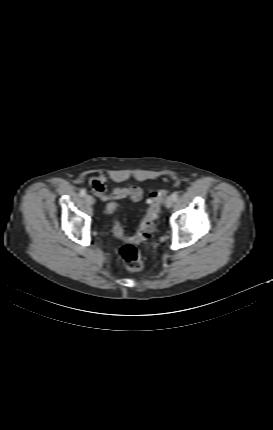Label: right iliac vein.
<instances>
[{"label": "right iliac vein", "instance_id": "1", "mask_svg": "<svg viewBox=\"0 0 273 430\" xmlns=\"http://www.w3.org/2000/svg\"><path fill=\"white\" fill-rule=\"evenodd\" d=\"M85 199H86V202H87L89 205H93V204L95 203V199H94L91 195H87V196L85 197Z\"/></svg>", "mask_w": 273, "mask_h": 430}]
</instances>
